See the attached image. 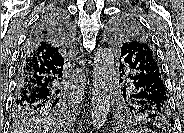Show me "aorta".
Returning a JSON list of instances; mask_svg holds the SVG:
<instances>
[{
	"label": "aorta",
	"instance_id": "aorta-1",
	"mask_svg": "<svg viewBox=\"0 0 184 133\" xmlns=\"http://www.w3.org/2000/svg\"><path fill=\"white\" fill-rule=\"evenodd\" d=\"M114 70V55L108 48L97 51L93 64L91 119L95 129H101L107 120Z\"/></svg>",
	"mask_w": 184,
	"mask_h": 133
}]
</instances>
